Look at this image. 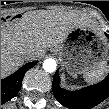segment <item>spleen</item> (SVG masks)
I'll use <instances>...</instances> for the list:
<instances>
[{
	"mask_svg": "<svg viewBox=\"0 0 109 109\" xmlns=\"http://www.w3.org/2000/svg\"><path fill=\"white\" fill-rule=\"evenodd\" d=\"M108 69V62L101 63L96 69L85 72L83 78L89 84L101 81L108 73Z\"/></svg>",
	"mask_w": 109,
	"mask_h": 109,
	"instance_id": "1",
	"label": "spleen"
}]
</instances>
